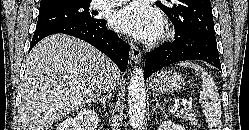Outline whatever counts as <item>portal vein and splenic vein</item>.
<instances>
[{
	"label": "portal vein and splenic vein",
	"instance_id": "obj_1",
	"mask_svg": "<svg viewBox=\"0 0 249 130\" xmlns=\"http://www.w3.org/2000/svg\"><path fill=\"white\" fill-rule=\"evenodd\" d=\"M191 99H183L182 100V102H181V104L183 105V106H186V105H191Z\"/></svg>",
	"mask_w": 249,
	"mask_h": 130
}]
</instances>
